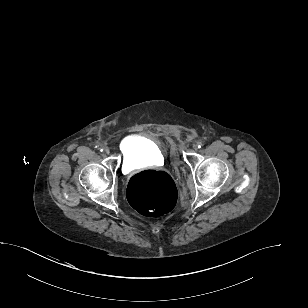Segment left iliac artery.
<instances>
[{"label": "left iliac artery", "mask_w": 308, "mask_h": 308, "mask_svg": "<svg viewBox=\"0 0 308 308\" xmlns=\"http://www.w3.org/2000/svg\"><path fill=\"white\" fill-rule=\"evenodd\" d=\"M203 146V143L200 141V142H197V147L198 148H201Z\"/></svg>", "instance_id": "left-iliac-artery-1"}]
</instances>
